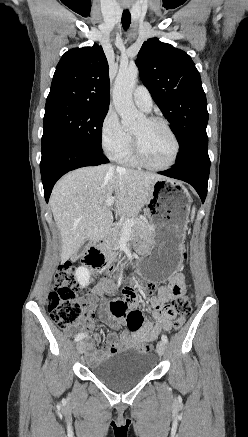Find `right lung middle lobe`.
<instances>
[{"mask_svg":"<svg viewBox=\"0 0 248 437\" xmlns=\"http://www.w3.org/2000/svg\"><path fill=\"white\" fill-rule=\"evenodd\" d=\"M107 112L71 101H46L42 144L69 139L102 151V125Z\"/></svg>","mask_w":248,"mask_h":437,"instance_id":"dd1d6c3e","label":"right lung middle lobe"}]
</instances>
